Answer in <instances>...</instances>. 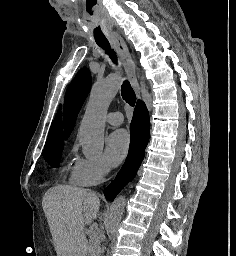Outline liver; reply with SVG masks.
I'll list each match as a JSON object with an SVG mask.
<instances>
[{
  "label": "liver",
  "mask_w": 236,
  "mask_h": 256,
  "mask_svg": "<svg viewBox=\"0 0 236 256\" xmlns=\"http://www.w3.org/2000/svg\"><path fill=\"white\" fill-rule=\"evenodd\" d=\"M43 210L57 256H85V224L96 220L100 200L84 188L54 186L44 194Z\"/></svg>",
  "instance_id": "6515ba94"
}]
</instances>
